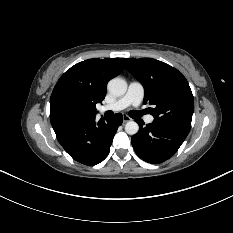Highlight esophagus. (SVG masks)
I'll use <instances>...</instances> for the list:
<instances>
[{"instance_id":"1","label":"esophagus","mask_w":233,"mask_h":233,"mask_svg":"<svg viewBox=\"0 0 233 233\" xmlns=\"http://www.w3.org/2000/svg\"><path fill=\"white\" fill-rule=\"evenodd\" d=\"M131 118L128 115H123V122L126 123L128 121H130Z\"/></svg>"}]
</instances>
